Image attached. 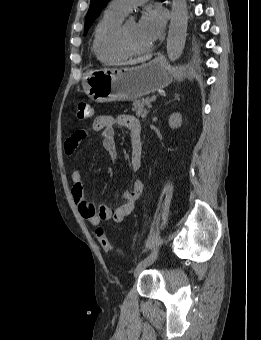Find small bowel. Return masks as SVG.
Wrapping results in <instances>:
<instances>
[{
    "label": "small bowel",
    "instance_id": "c3829d8e",
    "mask_svg": "<svg viewBox=\"0 0 261 340\" xmlns=\"http://www.w3.org/2000/svg\"><path fill=\"white\" fill-rule=\"evenodd\" d=\"M126 128L130 134V167L137 171L142 159L141 126L137 118L130 115H120L116 118L110 115H100L93 122V130L99 132L102 139V146L113 161L117 159V145L115 140V126ZM87 137L85 130H77L65 141L64 149L66 154L72 155L79 144ZM72 195L77 204L81 216L91 225H99L102 221L114 220L123 221L129 216L143 193V183L135 180L131 189L126 190L117 203L116 207L100 204L96 205L86 194L83 177L78 168L71 174Z\"/></svg>",
    "mask_w": 261,
    "mask_h": 340
}]
</instances>
